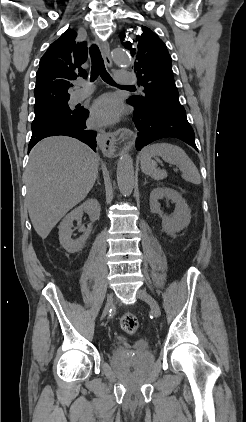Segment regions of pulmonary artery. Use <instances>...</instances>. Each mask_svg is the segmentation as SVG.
<instances>
[{"mask_svg":"<svg viewBox=\"0 0 246 422\" xmlns=\"http://www.w3.org/2000/svg\"><path fill=\"white\" fill-rule=\"evenodd\" d=\"M116 79L119 83L124 85H131L136 83L137 79L132 72L120 70L116 73ZM81 87L73 92L71 95V102L77 103L87 98L92 92L93 87L87 83H80Z\"/></svg>","mask_w":246,"mask_h":422,"instance_id":"e3ab8cb5","label":"pulmonary artery"}]
</instances>
